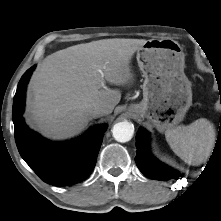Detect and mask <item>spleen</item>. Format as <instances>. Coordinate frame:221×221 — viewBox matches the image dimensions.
<instances>
[{"label":"spleen","mask_w":221,"mask_h":221,"mask_svg":"<svg viewBox=\"0 0 221 221\" xmlns=\"http://www.w3.org/2000/svg\"><path fill=\"white\" fill-rule=\"evenodd\" d=\"M215 136L213 124L205 118L165 131L166 141L173 152L189 165H198L208 159Z\"/></svg>","instance_id":"1"}]
</instances>
